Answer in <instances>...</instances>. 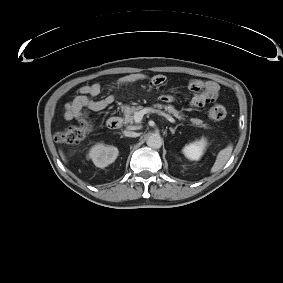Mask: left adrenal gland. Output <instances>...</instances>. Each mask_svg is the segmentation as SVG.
I'll return each instance as SVG.
<instances>
[{"instance_id": "left-adrenal-gland-1", "label": "left adrenal gland", "mask_w": 283, "mask_h": 283, "mask_svg": "<svg viewBox=\"0 0 283 283\" xmlns=\"http://www.w3.org/2000/svg\"><path fill=\"white\" fill-rule=\"evenodd\" d=\"M177 127H178V125H176L175 128H172V127L169 128V130L171 131L172 134H175Z\"/></svg>"}]
</instances>
